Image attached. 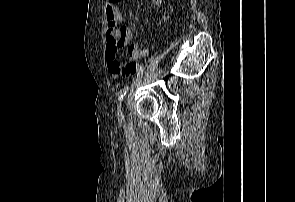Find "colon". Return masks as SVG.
Returning <instances> with one entry per match:
<instances>
[{
	"mask_svg": "<svg viewBox=\"0 0 295 202\" xmlns=\"http://www.w3.org/2000/svg\"><path fill=\"white\" fill-rule=\"evenodd\" d=\"M110 2H115V0H108L107 4ZM108 31H107V43L109 47H119L121 45V38L117 35L116 28H118V23L116 21H108ZM129 69V68H128Z\"/></svg>",
	"mask_w": 295,
	"mask_h": 202,
	"instance_id": "5ec220e1",
	"label": "colon"
}]
</instances>
